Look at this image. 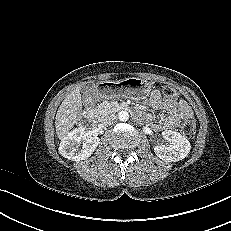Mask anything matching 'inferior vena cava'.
Segmentation results:
<instances>
[{
	"instance_id": "602c4592",
	"label": "inferior vena cava",
	"mask_w": 231,
	"mask_h": 231,
	"mask_svg": "<svg viewBox=\"0 0 231 231\" xmlns=\"http://www.w3.org/2000/svg\"><path fill=\"white\" fill-rule=\"evenodd\" d=\"M117 116L115 114H107L101 118L102 124L105 126L111 125L116 120Z\"/></svg>"
}]
</instances>
